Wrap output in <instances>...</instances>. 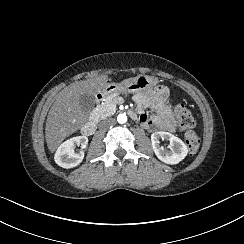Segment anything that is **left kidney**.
Returning a JSON list of instances; mask_svg holds the SVG:
<instances>
[{"label":"left kidney","instance_id":"1","mask_svg":"<svg viewBox=\"0 0 244 244\" xmlns=\"http://www.w3.org/2000/svg\"><path fill=\"white\" fill-rule=\"evenodd\" d=\"M160 139L169 140L170 150H164L160 147ZM152 147L159 160L166 164H178L182 161L187 153L188 148L185 143L178 137L169 132H154L151 135Z\"/></svg>","mask_w":244,"mask_h":244}]
</instances>
